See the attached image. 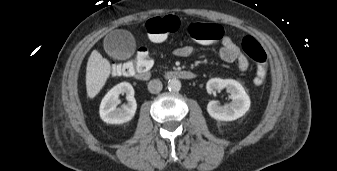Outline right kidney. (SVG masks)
<instances>
[{
  "mask_svg": "<svg viewBox=\"0 0 337 171\" xmlns=\"http://www.w3.org/2000/svg\"><path fill=\"white\" fill-rule=\"evenodd\" d=\"M126 94L127 103L122 108H117L118 97ZM137 103L134 98V89L128 82L114 86L102 99L100 104L101 119L110 124H122L130 121L136 112Z\"/></svg>",
  "mask_w": 337,
  "mask_h": 171,
  "instance_id": "ca27d5eb",
  "label": "right kidney"
}]
</instances>
